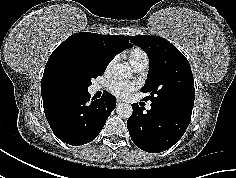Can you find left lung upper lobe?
Instances as JSON below:
<instances>
[{"label":"left lung upper lobe","instance_id":"left-lung-upper-lobe-1","mask_svg":"<svg viewBox=\"0 0 236 178\" xmlns=\"http://www.w3.org/2000/svg\"><path fill=\"white\" fill-rule=\"evenodd\" d=\"M149 58L147 82L141 89L152 103L193 109L195 88L190 64L185 56L162 37L128 36Z\"/></svg>","mask_w":236,"mask_h":178}]
</instances>
